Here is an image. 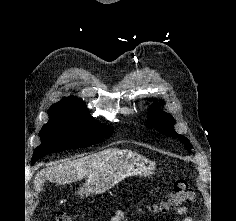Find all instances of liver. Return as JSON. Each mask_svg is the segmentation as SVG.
Listing matches in <instances>:
<instances>
[{
    "mask_svg": "<svg viewBox=\"0 0 236 221\" xmlns=\"http://www.w3.org/2000/svg\"><path fill=\"white\" fill-rule=\"evenodd\" d=\"M117 152H119L118 149L109 148L78 159H66L53 163L35 175L34 189L37 193L41 192L46 180L59 184H69L81 180L92 174L106 159Z\"/></svg>",
    "mask_w": 236,
    "mask_h": 221,
    "instance_id": "liver-1",
    "label": "liver"
}]
</instances>
